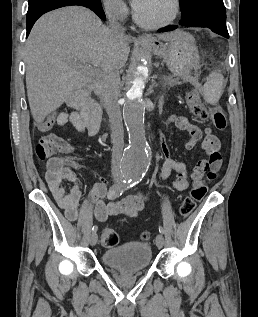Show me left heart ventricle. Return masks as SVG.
I'll return each mask as SVG.
<instances>
[{
  "label": "left heart ventricle",
  "instance_id": "1",
  "mask_svg": "<svg viewBox=\"0 0 258 317\" xmlns=\"http://www.w3.org/2000/svg\"><path fill=\"white\" fill-rule=\"evenodd\" d=\"M173 14V4L168 0H154L139 10L141 22L146 27H155L168 20Z\"/></svg>",
  "mask_w": 258,
  "mask_h": 317
}]
</instances>
